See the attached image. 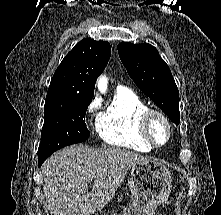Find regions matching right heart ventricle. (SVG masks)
Returning <instances> with one entry per match:
<instances>
[{"instance_id": "right-heart-ventricle-1", "label": "right heart ventricle", "mask_w": 221, "mask_h": 215, "mask_svg": "<svg viewBox=\"0 0 221 215\" xmlns=\"http://www.w3.org/2000/svg\"><path fill=\"white\" fill-rule=\"evenodd\" d=\"M147 108L134 92L117 90L111 105L100 116L97 130L101 139L109 145L149 152L152 146L142 136L139 119Z\"/></svg>"}]
</instances>
